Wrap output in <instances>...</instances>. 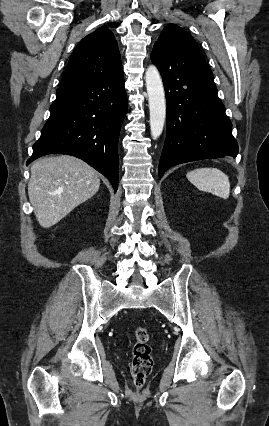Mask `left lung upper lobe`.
Instances as JSON below:
<instances>
[{
	"instance_id": "5c2ea615",
	"label": "left lung upper lobe",
	"mask_w": 269,
	"mask_h": 426,
	"mask_svg": "<svg viewBox=\"0 0 269 426\" xmlns=\"http://www.w3.org/2000/svg\"><path fill=\"white\" fill-rule=\"evenodd\" d=\"M155 45L195 54L204 58L193 37L186 30L175 24H169L163 29Z\"/></svg>"
}]
</instances>
